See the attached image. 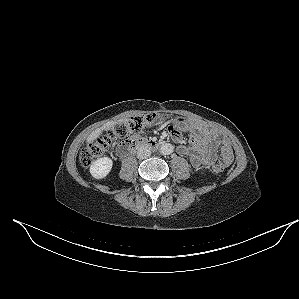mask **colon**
Segmentation results:
<instances>
[{
  "mask_svg": "<svg viewBox=\"0 0 299 299\" xmlns=\"http://www.w3.org/2000/svg\"><path fill=\"white\" fill-rule=\"evenodd\" d=\"M156 115H140L129 119L126 122L117 123L113 128L104 133L101 137L84 147L80 153V162L84 167H89L96 159L100 158L107 149L116 141L122 140L131 134L138 133L148 126H152L160 121ZM170 132H178L174 125L169 126ZM186 141L191 146H199L202 143V136L196 131H189L186 134ZM224 169L223 162L216 160L212 165L214 173H219Z\"/></svg>",
  "mask_w": 299,
  "mask_h": 299,
  "instance_id": "1",
  "label": "colon"
}]
</instances>
